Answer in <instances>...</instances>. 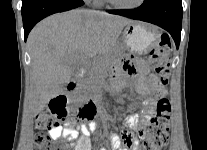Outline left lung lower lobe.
I'll use <instances>...</instances> for the list:
<instances>
[{"mask_svg":"<svg viewBox=\"0 0 207 150\" xmlns=\"http://www.w3.org/2000/svg\"><path fill=\"white\" fill-rule=\"evenodd\" d=\"M108 12L162 27L171 34L178 49L183 14L181 0H145L136 9L108 10Z\"/></svg>","mask_w":207,"mask_h":150,"instance_id":"obj_1","label":"left lung lower lobe"}]
</instances>
